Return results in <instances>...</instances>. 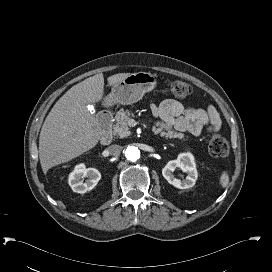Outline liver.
<instances>
[{"label": "liver", "mask_w": 272, "mask_h": 272, "mask_svg": "<svg viewBox=\"0 0 272 272\" xmlns=\"http://www.w3.org/2000/svg\"><path fill=\"white\" fill-rule=\"evenodd\" d=\"M131 73L107 78L108 85L123 81ZM104 77L96 74L70 88L47 115L39 136V158L44 173L68 162L97 145L101 132L87 105L101 101Z\"/></svg>", "instance_id": "obj_1"}]
</instances>
